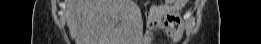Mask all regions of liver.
Wrapping results in <instances>:
<instances>
[{"instance_id": "1", "label": "liver", "mask_w": 261, "mask_h": 44, "mask_svg": "<svg viewBox=\"0 0 261 44\" xmlns=\"http://www.w3.org/2000/svg\"><path fill=\"white\" fill-rule=\"evenodd\" d=\"M76 14L78 44H138L144 25L132 0H69Z\"/></svg>"}]
</instances>
